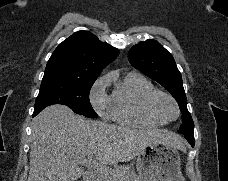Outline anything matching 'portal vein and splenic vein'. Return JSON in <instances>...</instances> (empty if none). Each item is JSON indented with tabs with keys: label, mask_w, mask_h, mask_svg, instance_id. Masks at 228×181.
<instances>
[{
	"label": "portal vein and splenic vein",
	"mask_w": 228,
	"mask_h": 181,
	"mask_svg": "<svg viewBox=\"0 0 228 181\" xmlns=\"http://www.w3.org/2000/svg\"><path fill=\"white\" fill-rule=\"evenodd\" d=\"M85 165L86 167H91L94 173H97V175H100V177H103V175H112V169H109V167H106V165H100V163H97L93 157L87 159ZM115 177H117V175H112V177H104V179H115Z\"/></svg>",
	"instance_id": "portal-vein-and-splenic-vein-1"
}]
</instances>
